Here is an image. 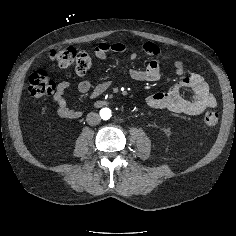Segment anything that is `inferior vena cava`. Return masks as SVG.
I'll return each instance as SVG.
<instances>
[{
    "label": "inferior vena cava",
    "mask_w": 236,
    "mask_h": 236,
    "mask_svg": "<svg viewBox=\"0 0 236 236\" xmlns=\"http://www.w3.org/2000/svg\"><path fill=\"white\" fill-rule=\"evenodd\" d=\"M86 121L89 125L94 126L100 123L101 118L99 114L95 112H90L87 114Z\"/></svg>",
    "instance_id": "obj_1"
}]
</instances>
